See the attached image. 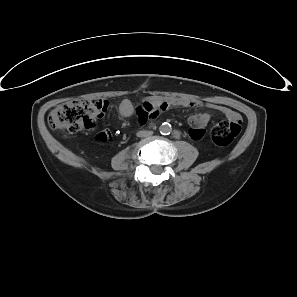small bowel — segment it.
<instances>
[{
  "mask_svg": "<svg viewBox=\"0 0 297 297\" xmlns=\"http://www.w3.org/2000/svg\"><path fill=\"white\" fill-rule=\"evenodd\" d=\"M203 104L199 101H191L185 99H171L167 101L153 100L144 101L137 110V115L140 122H145L148 119L156 118L160 112L166 110L169 106H181V107H201ZM210 108L224 114L227 119L232 120L239 114L235 111L221 105L209 104ZM135 109L129 100H124L120 104L119 112L123 117H130L133 115ZM210 121V115L208 113H196L190 116L189 123L191 129L189 135L192 139L198 140L204 135V128Z\"/></svg>",
  "mask_w": 297,
  "mask_h": 297,
  "instance_id": "c3829d8e",
  "label": "small bowel"
}]
</instances>
